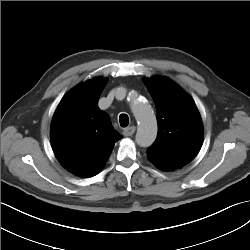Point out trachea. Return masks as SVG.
Here are the masks:
<instances>
[{"label": "trachea", "instance_id": "trachea-1", "mask_svg": "<svg viewBox=\"0 0 250 250\" xmlns=\"http://www.w3.org/2000/svg\"><path fill=\"white\" fill-rule=\"evenodd\" d=\"M119 121H120L121 127H127L128 124H129V117H128V115H126V114H121V115L119 116Z\"/></svg>", "mask_w": 250, "mask_h": 250}]
</instances>
